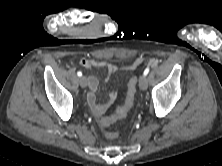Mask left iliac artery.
<instances>
[{
    "instance_id": "obj_1",
    "label": "left iliac artery",
    "mask_w": 222,
    "mask_h": 166,
    "mask_svg": "<svg viewBox=\"0 0 222 166\" xmlns=\"http://www.w3.org/2000/svg\"><path fill=\"white\" fill-rule=\"evenodd\" d=\"M149 71H150V68L147 67V68L144 70V75L147 76V74L149 73Z\"/></svg>"
}]
</instances>
